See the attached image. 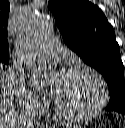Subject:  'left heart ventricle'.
Segmentation results:
<instances>
[{
    "label": "left heart ventricle",
    "instance_id": "left-heart-ventricle-1",
    "mask_svg": "<svg viewBox=\"0 0 125 128\" xmlns=\"http://www.w3.org/2000/svg\"><path fill=\"white\" fill-rule=\"evenodd\" d=\"M100 98L99 84L87 73L65 75L55 100L67 112L80 113L95 107Z\"/></svg>",
    "mask_w": 125,
    "mask_h": 128
}]
</instances>
